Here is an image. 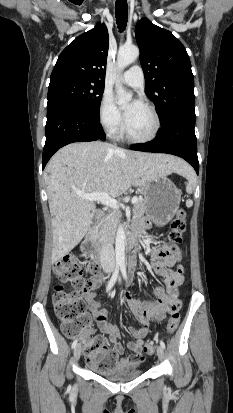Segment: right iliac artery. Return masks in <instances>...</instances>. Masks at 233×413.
<instances>
[{"label": "right iliac artery", "mask_w": 233, "mask_h": 413, "mask_svg": "<svg viewBox=\"0 0 233 413\" xmlns=\"http://www.w3.org/2000/svg\"><path fill=\"white\" fill-rule=\"evenodd\" d=\"M118 274H119V266L117 265L116 268H115V270H114V272H113V275H112V277H111V279H110V281H109V283H108L107 291H109V290L114 286V284H115V282H116V280H117ZM77 341H78V340H75V341L72 343V349H74V348L76 347Z\"/></svg>", "instance_id": "right-iliac-artery-1"}]
</instances>
